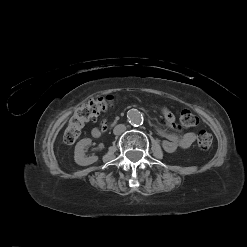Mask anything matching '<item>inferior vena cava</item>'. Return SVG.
I'll use <instances>...</instances> for the list:
<instances>
[{
    "label": "inferior vena cava",
    "mask_w": 247,
    "mask_h": 247,
    "mask_svg": "<svg viewBox=\"0 0 247 247\" xmlns=\"http://www.w3.org/2000/svg\"><path fill=\"white\" fill-rule=\"evenodd\" d=\"M126 131V126L124 124H119V125H116L113 129V133L115 135H120L122 134L123 132Z\"/></svg>",
    "instance_id": "inferior-vena-cava-1"
}]
</instances>
